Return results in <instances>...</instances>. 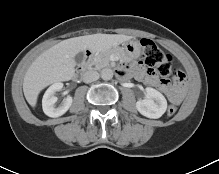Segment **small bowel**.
I'll use <instances>...</instances> for the list:
<instances>
[{"instance_id":"1","label":"small bowel","mask_w":219,"mask_h":174,"mask_svg":"<svg viewBox=\"0 0 219 174\" xmlns=\"http://www.w3.org/2000/svg\"><path fill=\"white\" fill-rule=\"evenodd\" d=\"M120 72L122 71L120 70ZM128 73L135 75V77L140 80H144L147 84L156 86L164 90L168 95L169 99L174 103H180L185 96V83H180L176 81L171 84L167 81H162L158 79L154 74L146 73L141 67H129Z\"/></svg>"}]
</instances>
